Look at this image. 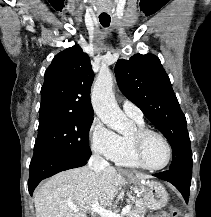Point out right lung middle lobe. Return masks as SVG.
<instances>
[{"instance_id":"dd1d6c3e","label":"right lung middle lobe","mask_w":211,"mask_h":217,"mask_svg":"<svg viewBox=\"0 0 211 217\" xmlns=\"http://www.w3.org/2000/svg\"><path fill=\"white\" fill-rule=\"evenodd\" d=\"M92 116L73 114L51 115L41 118L34 156L61 154L89 159L91 150L88 142Z\"/></svg>"}]
</instances>
